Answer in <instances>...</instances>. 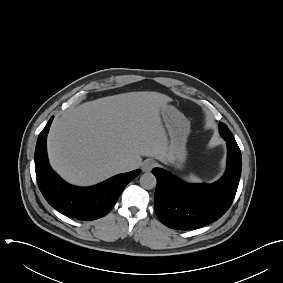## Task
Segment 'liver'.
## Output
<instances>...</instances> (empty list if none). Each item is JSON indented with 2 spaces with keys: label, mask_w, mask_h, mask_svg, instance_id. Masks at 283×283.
I'll list each match as a JSON object with an SVG mask.
<instances>
[{
  "label": "liver",
  "mask_w": 283,
  "mask_h": 283,
  "mask_svg": "<svg viewBox=\"0 0 283 283\" xmlns=\"http://www.w3.org/2000/svg\"><path fill=\"white\" fill-rule=\"evenodd\" d=\"M157 92H129L85 102L57 118L47 149L52 168L80 186L120 173L127 160L138 168L142 156L169 160L161 110L171 102Z\"/></svg>",
  "instance_id": "liver-1"
}]
</instances>
